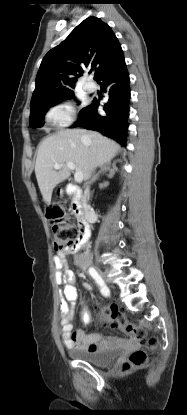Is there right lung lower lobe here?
Masks as SVG:
<instances>
[{"label": "right lung lower lobe", "mask_w": 187, "mask_h": 415, "mask_svg": "<svg viewBox=\"0 0 187 415\" xmlns=\"http://www.w3.org/2000/svg\"><path fill=\"white\" fill-rule=\"evenodd\" d=\"M95 81L100 84L101 90L108 94V101L103 107L104 112H98L99 101L94 100L80 111V117L72 127L80 126L101 132L125 145L130 80L122 52L95 78Z\"/></svg>", "instance_id": "obj_1"}]
</instances>
